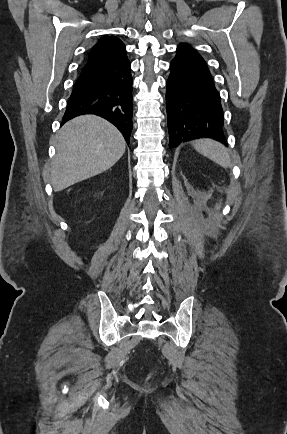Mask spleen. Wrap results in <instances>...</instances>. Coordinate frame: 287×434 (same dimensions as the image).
I'll return each instance as SVG.
<instances>
[{"instance_id": "obj_1", "label": "spleen", "mask_w": 287, "mask_h": 434, "mask_svg": "<svg viewBox=\"0 0 287 434\" xmlns=\"http://www.w3.org/2000/svg\"><path fill=\"white\" fill-rule=\"evenodd\" d=\"M194 148L205 157L224 168L231 166V159L228 150L221 143L212 139H199L194 142Z\"/></svg>"}]
</instances>
